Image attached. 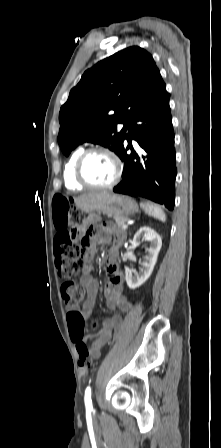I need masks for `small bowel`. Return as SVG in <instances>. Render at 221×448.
Returning <instances> with one entry per match:
<instances>
[{"label": "small bowel", "mask_w": 221, "mask_h": 448, "mask_svg": "<svg viewBox=\"0 0 221 448\" xmlns=\"http://www.w3.org/2000/svg\"><path fill=\"white\" fill-rule=\"evenodd\" d=\"M54 229L57 235L55 224ZM75 230L81 235L85 234L87 231V236L89 238L88 247L90 248L89 258L92 257L93 247L96 243L102 242L110 244L107 256L108 282L104 292L106 305L112 311H116L118 309L124 312L132 311L133 304L124 296L122 287V275L116 263V256L123 242L122 235H110L107 225L104 223H100L97 218H90L88 222L84 223L83 225L77 226ZM92 270L93 268L91 266H88L84 270L80 278V284L86 288L88 292V298L84 302L81 309H76L74 311L80 314L82 317L91 315L93 311L94 296L97 292V283L91 275ZM121 325L122 319L120 318V316L113 315L111 318L105 319L102 322L101 329L96 336L83 338V342H88L89 340H91L89 345V352L94 359L100 357L102 348L110 341L113 332L119 329Z\"/></svg>", "instance_id": "1"}]
</instances>
